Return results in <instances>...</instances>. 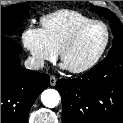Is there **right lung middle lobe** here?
<instances>
[{
	"instance_id": "right-lung-middle-lobe-1",
	"label": "right lung middle lobe",
	"mask_w": 123,
	"mask_h": 123,
	"mask_svg": "<svg viewBox=\"0 0 123 123\" xmlns=\"http://www.w3.org/2000/svg\"><path fill=\"white\" fill-rule=\"evenodd\" d=\"M30 7L26 4H14L1 8V35L21 26L26 19Z\"/></svg>"
}]
</instances>
